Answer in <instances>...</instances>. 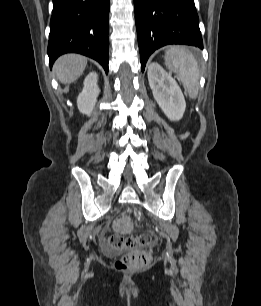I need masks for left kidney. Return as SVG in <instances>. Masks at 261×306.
<instances>
[{
    "instance_id": "obj_1",
    "label": "left kidney",
    "mask_w": 261,
    "mask_h": 306,
    "mask_svg": "<svg viewBox=\"0 0 261 306\" xmlns=\"http://www.w3.org/2000/svg\"><path fill=\"white\" fill-rule=\"evenodd\" d=\"M148 81L158 105L171 121H179L186 103L177 82L158 63L148 67Z\"/></svg>"
}]
</instances>
